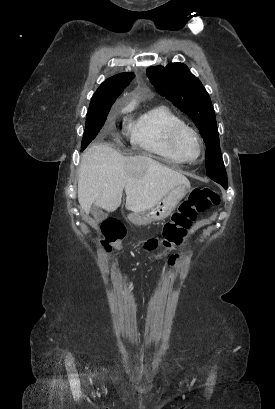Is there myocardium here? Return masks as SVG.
I'll return each instance as SVG.
<instances>
[{"label": "myocardium", "instance_id": "1", "mask_svg": "<svg viewBox=\"0 0 275 409\" xmlns=\"http://www.w3.org/2000/svg\"><path fill=\"white\" fill-rule=\"evenodd\" d=\"M185 133L190 134L195 141V144L197 147V153L194 157H200L201 151H202V145H201L199 136L192 127L186 124L176 127L171 133L170 148H171L173 157H179V155L177 154V143H178L179 138Z\"/></svg>", "mask_w": 275, "mask_h": 409}]
</instances>
